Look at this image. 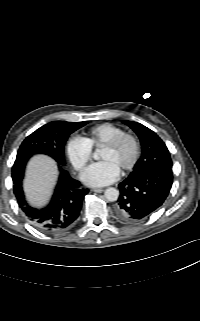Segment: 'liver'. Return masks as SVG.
<instances>
[{"label":"liver","mask_w":200,"mask_h":321,"mask_svg":"<svg viewBox=\"0 0 200 321\" xmlns=\"http://www.w3.org/2000/svg\"><path fill=\"white\" fill-rule=\"evenodd\" d=\"M57 174L56 163L50 157L37 155L31 159L26 171L24 189L32 204L41 205L46 201Z\"/></svg>","instance_id":"liver-1"}]
</instances>
